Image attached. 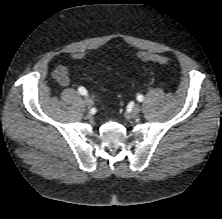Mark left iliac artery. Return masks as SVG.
I'll return each instance as SVG.
<instances>
[{"label": "left iliac artery", "instance_id": "obj_1", "mask_svg": "<svg viewBox=\"0 0 222 219\" xmlns=\"http://www.w3.org/2000/svg\"><path fill=\"white\" fill-rule=\"evenodd\" d=\"M137 100H138L139 102H142V101L144 100V96L141 95V94H139V95L137 96Z\"/></svg>", "mask_w": 222, "mask_h": 219}]
</instances>
